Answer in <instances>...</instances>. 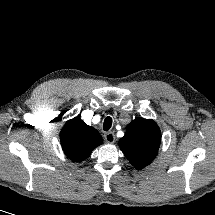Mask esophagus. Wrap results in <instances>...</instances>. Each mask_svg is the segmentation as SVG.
I'll use <instances>...</instances> for the list:
<instances>
[{
    "mask_svg": "<svg viewBox=\"0 0 215 215\" xmlns=\"http://www.w3.org/2000/svg\"><path fill=\"white\" fill-rule=\"evenodd\" d=\"M105 141L108 143H114L115 142V134L113 132H107L104 135Z\"/></svg>",
    "mask_w": 215,
    "mask_h": 215,
    "instance_id": "obj_1",
    "label": "esophagus"
}]
</instances>
